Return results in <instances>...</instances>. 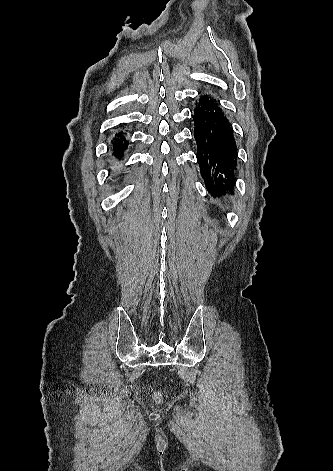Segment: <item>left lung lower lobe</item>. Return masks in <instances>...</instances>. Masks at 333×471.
<instances>
[{
  "label": "left lung lower lobe",
  "mask_w": 333,
  "mask_h": 471,
  "mask_svg": "<svg viewBox=\"0 0 333 471\" xmlns=\"http://www.w3.org/2000/svg\"><path fill=\"white\" fill-rule=\"evenodd\" d=\"M197 161L206 189L211 195L234 184L237 148L233 129L215 98L202 96L192 114Z\"/></svg>",
  "instance_id": "obj_1"
}]
</instances>
